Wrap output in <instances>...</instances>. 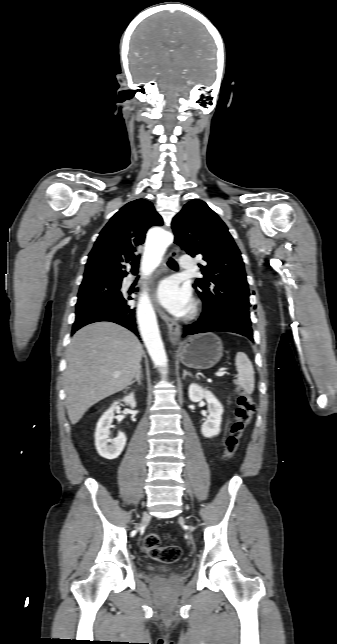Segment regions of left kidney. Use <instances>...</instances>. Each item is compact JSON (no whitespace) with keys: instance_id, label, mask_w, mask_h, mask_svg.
<instances>
[{"instance_id":"obj_1","label":"left kidney","mask_w":337,"mask_h":644,"mask_svg":"<svg viewBox=\"0 0 337 644\" xmlns=\"http://www.w3.org/2000/svg\"><path fill=\"white\" fill-rule=\"evenodd\" d=\"M189 398L192 402H199L205 399L208 404L207 419L201 426V432L204 437L211 438L219 434L222 422L223 406L209 390L203 389L198 384L192 383L188 390Z\"/></svg>"}]
</instances>
